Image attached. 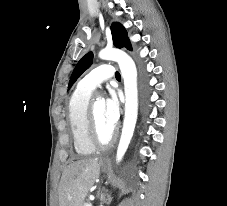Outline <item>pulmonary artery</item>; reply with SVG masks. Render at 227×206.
Instances as JSON below:
<instances>
[{
  "label": "pulmonary artery",
  "instance_id": "1",
  "mask_svg": "<svg viewBox=\"0 0 227 206\" xmlns=\"http://www.w3.org/2000/svg\"><path fill=\"white\" fill-rule=\"evenodd\" d=\"M115 76V69L109 64H103L92 71H90L86 76H84L78 86L82 89L93 91L101 83L107 81L108 79Z\"/></svg>",
  "mask_w": 227,
  "mask_h": 206
}]
</instances>
